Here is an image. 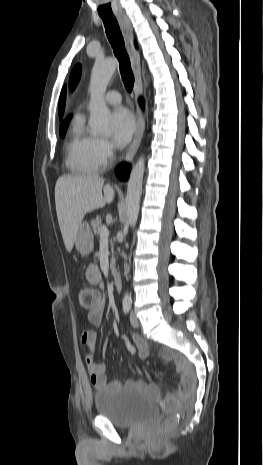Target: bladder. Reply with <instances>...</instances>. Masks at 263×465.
<instances>
[{
  "label": "bladder",
  "instance_id": "1",
  "mask_svg": "<svg viewBox=\"0 0 263 465\" xmlns=\"http://www.w3.org/2000/svg\"><path fill=\"white\" fill-rule=\"evenodd\" d=\"M94 406L98 414L121 428L146 423L158 414L156 403L143 393L111 386L94 395Z\"/></svg>",
  "mask_w": 263,
  "mask_h": 465
}]
</instances>
